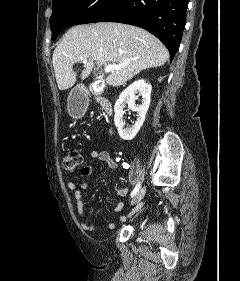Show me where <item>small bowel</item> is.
<instances>
[{
	"instance_id": "1",
	"label": "small bowel",
	"mask_w": 240,
	"mask_h": 281,
	"mask_svg": "<svg viewBox=\"0 0 240 281\" xmlns=\"http://www.w3.org/2000/svg\"><path fill=\"white\" fill-rule=\"evenodd\" d=\"M90 157L93 160L101 161L108 169L114 170L118 167L117 161L111 157V155L108 152L105 151H98V150H92L90 152ZM93 173V168L90 165H85L80 169V175L84 177H88ZM88 185L86 182H83L80 186L76 184L74 181H69L67 183V188L73 192L75 201H76V208H77V214L79 217V220L83 226V228L89 232H105L114 229L115 224L110 222L106 224L103 227H99L95 224H87L84 222V203L82 200V190L87 189ZM115 192L118 196L124 197L128 194L129 189L128 188H121L117 187L115 189ZM124 204L122 202L118 203L114 208L113 212L118 213L123 209ZM142 207V204L139 205L134 212L138 211ZM130 216V215H128ZM127 216H120L119 220L121 222H124L126 220Z\"/></svg>"
}]
</instances>
